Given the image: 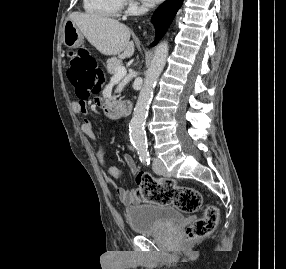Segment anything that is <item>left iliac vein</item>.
Masks as SVG:
<instances>
[{
	"label": "left iliac vein",
	"mask_w": 286,
	"mask_h": 269,
	"mask_svg": "<svg viewBox=\"0 0 286 269\" xmlns=\"http://www.w3.org/2000/svg\"><path fill=\"white\" fill-rule=\"evenodd\" d=\"M153 169L156 173L167 176L168 172L162 163V161L158 158L154 159Z\"/></svg>",
	"instance_id": "1"
}]
</instances>
